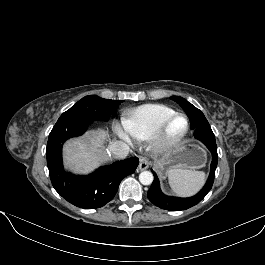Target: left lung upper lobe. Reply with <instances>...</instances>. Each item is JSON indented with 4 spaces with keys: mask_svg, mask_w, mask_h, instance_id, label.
Wrapping results in <instances>:
<instances>
[{
    "mask_svg": "<svg viewBox=\"0 0 265 265\" xmlns=\"http://www.w3.org/2000/svg\"><path fill=\"white\" fill-rule=\"evenodd\" d=\"M171 99L177 102L186 112L187 116L190 118L191 129L200 125L209 124L204 114L186 99L179 96H171Z\"/></svg>",
    "mask_w": 265,
    "mask_h": 265,
    "instance_id": "obj_1",
    "label": "left lung upper lobe"
}]
</instances>
